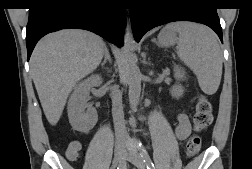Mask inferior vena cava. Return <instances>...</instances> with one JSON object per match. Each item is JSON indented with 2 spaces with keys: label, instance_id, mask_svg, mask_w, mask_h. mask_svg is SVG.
I'll return each mask as SVG.
<instances>
[{
  "label": "inferior vena cava",
  "instance_id": "1",
  "mask_svg": "<svg viewBox=\"0 0 252 169\" xmlns=\"http://www.w3.org/2000/svg\"><path fill=\"white\" fill-rule=\"evenodd\" d=\"M110 89L112 99V116L115 129V146L116 148H122L125 144L127 135L122 106V93L116 85L111 86Z\"/></svg>",
  "mask_w": 252,
  "mask_h": 169
}]
</instances>
